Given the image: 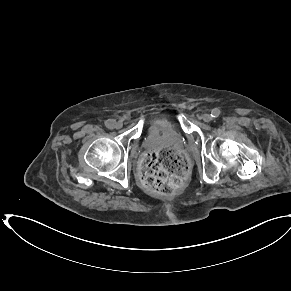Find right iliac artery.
Masks as SVG:
<instances>
[{
	"label": "right iliac artery",
	"instance_id": "right-iliac-artery-1",
	"mask_svg": "<svg viewBox=\"0 0 291 291\" xmlns=\"http://www.w3.org/2000/svg\"><path fill=\"white\" fill-rule=\"evenodd\" d=\"M114 124H115V121H113V120H107L105 122L106 127L109 128V129H113L114 128Z\"/></svg>",
	"mask_w": 291,
	"mask_h": 291
}]
</instances>
